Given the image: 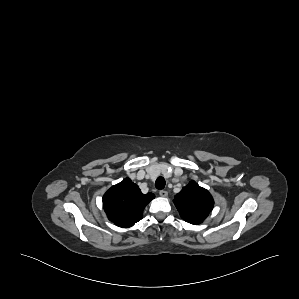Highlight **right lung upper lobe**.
Wrapping results in <instances>:
<instances>
[{"mask_svg": "<svg viewBox=\"0 0 299 299\" xmlns=\"http://www.w3.org/2000/svg\"><path fill=\"white\" fill-rule=\"evenodd\" d=\"M153 193L143 194L129 178L112 186L103 196V208L115 225L133 226L142 218L145 206L154 199Z\"/></svg>", "mask_w": 299, "mask_h": 299, "instance_id": "cb5924a9", "label": "right lung upper lobe"}]
</instances>
